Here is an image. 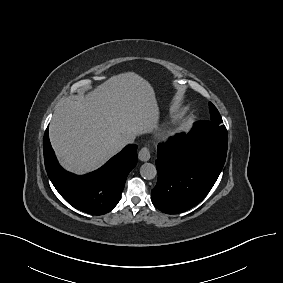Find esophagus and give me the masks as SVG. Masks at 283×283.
I'll return each instance as SVG.
<instances>
[{
	"label": "esophagus",
	"mask_w": 283,
	"mask_h": 283,
	"mask_svg": "<svg viewBox=\"0 0 283 283\" xmlns=\"http://www.w3.org/2000/svg\"><path fill=\"white\" fill-rule=\"evenodd\" d=\"M150 157H151V151L148 147H143L138 153L139 160L143 162L148 161Z\"/></svg>",
	"instance_id": "34e87169"
}]
</instances>
